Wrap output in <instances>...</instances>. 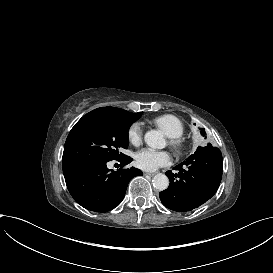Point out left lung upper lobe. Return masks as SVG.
Returning <instances> with one entry per match:
<instances>
[{
	"label": "left lung upper lobe",
	"mask_w": 273,
	"mask_h": 273,
	"mask_svg": "<svg viewBox=\"0 0 273 273\" xmlns=\"http://www.w3.org/2000/svg\"><path fill=\"white\" fill-rule=\"evenodd\" d=\"M201 134H202L203 136L205 135L204 129H201ZM207 146H212V145L209 143Z\"/></svg>",
	"instance_id": "5c2ea615"
}]
</instances>
